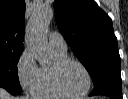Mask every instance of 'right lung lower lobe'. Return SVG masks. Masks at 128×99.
<instances>
[{
    "instance_id": "right-lung-lower-lobe-1",
    "label": "right lung lower lobe",
    "mask_w": 128,
    "mask_h": 99,
    "mask_svg": "<svg viewBox=\"0 0 128 99\" xmlns=\"http://www.w3.org/2000/svg\"><path fill=\"white\" fill-rule=\"evenodd\" d=\"M0 87L6 89L11 94L20 93L21 91L14 89L13 87L0 83Z\"/></svg>"
}]
</instances>
